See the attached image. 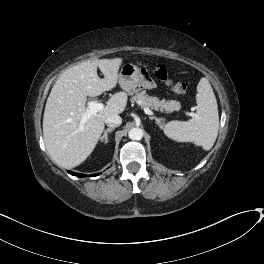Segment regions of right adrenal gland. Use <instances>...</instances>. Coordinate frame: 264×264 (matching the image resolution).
I'll list each match as a JSON object with an SVG mask.
<instances>
[{
    "label": "right adrenal gland",
    "mask_w": 264,
    "mask_h": 264,
    "mask_svg": "<svg viewBox=\"0 0 264 264\" xmlns=\"http://www.w3.org/2000/svg\"><path fill=\"white\" fill-rule=\"evenodd\" d=\"M114 129V127L106 129L103 136L100 138L101 142L106 144L108 142V133L114 131Z\"/></svg>",
    "instance_id": "obj_1"
}]
</instances>
